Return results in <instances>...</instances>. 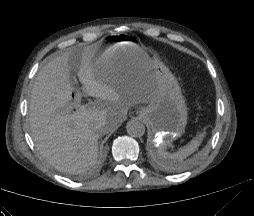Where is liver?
Masks as SVG:
<instances>
[{"label":"liver","instance_id":"1","mask_svg":"<svg viewBox=\"0 0 254 216\" xmlns=\"http://www.w3.org/2000/svg\"><path fill=\"white\" fill-rule=\"evenodd\" d=\"M99 43L76 55L63 53L39 71L32 88L29 123L40 154L57 170L76 174L94 165L98 139L113 131L135 104H148L155 78L150 70L100 73L95 65ZM70 61L85 93L96 99L70 111L74 91ZM108 60H104L106 64ZM103 122L97 130L95 125Z\"/></svg>","mask_w":254,"mask_h":216}]
</instances>
